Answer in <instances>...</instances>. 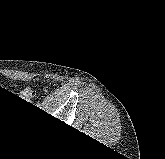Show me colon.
I'll return each mask as SVG.
<instances>
[{
	"label": "colon",
	"instance_id": "5ec220e1",
	"mask_svg": "<svg viewBox=\"0 0 165 159\" xmlns=\"http://www.w3.org/2000/svg\"><path fill=\"white\" fill-rule=\"evenodd\" d=\"M23 94L26 95V96H32V91L29 90V89H26L23 91Z\"/></svg>",
	"mask_w": 165,
	"mask_h": 159
}]
</instances>
